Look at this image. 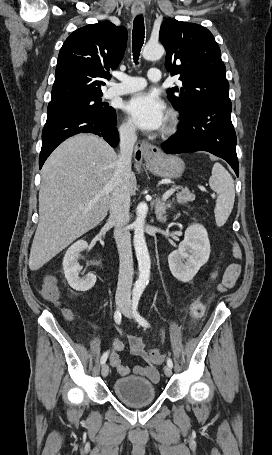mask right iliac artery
<instances>
[{"label":"right iliac artery","instance_id":"82829eb1","mask_svg":"<svg viewBox=\"0 0 272 455\" xmlns=\"http://www.w3.org/2000/svg\"><path fill=\"white\" fill-rule=\"evenodd\" d=\"M114 320H115V322H116L117 324H120V322H121V312H120L119 310H116V311H115V313H114ZM108 354H109V352L107 351V352H105V353L102 355L101 360H100V362H101L102 365L105 364V362H106V360H107V358H108Z\"/></svg>","mask_w":272,"mask_h":455}]
</instances>
